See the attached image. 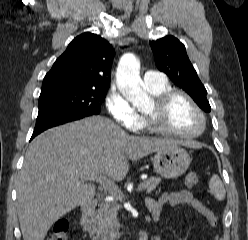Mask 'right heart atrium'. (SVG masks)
I'll list each match as a JSON object with an SVG mask.
<instances>
[{"instance_id":"right-heart-atrium-1","label":"right heart atrium","mask_w":248,"mask_h":240,"mask_svg":"<svg viewBox=\"0 0 248 240\" xmlns=\"http://www.w3.org/2000/svg\"><path fill=\"white\" fill-rule=\"evenodd\" d=\"M106 107L112 118L126 129L138 131L143 126V118L116 88L108 93Z\"/></svg>"}]
</instances>
